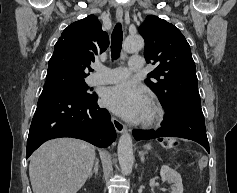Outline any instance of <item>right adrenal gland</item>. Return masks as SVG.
Returning <instances> with one entry per match:
<instances>
[{
  "instance_id": "right-adrenal-gland-1",
  "label": "right adrenal gland",
  "mask_w": 237,
  "mask_h": 193,
  "mask_svg": "<svg viewBox=\"0 0 237 193\" xmlns=\"http://www.w3.org/2000/svg\"><path fill=\"white\" fill-rule=\"evenodd\" d=\"M99 170V160L96 158L94 163V169L90 172L88 178H91L93 174L97 175Z\"/></svg>"
}]
</instances>
